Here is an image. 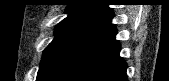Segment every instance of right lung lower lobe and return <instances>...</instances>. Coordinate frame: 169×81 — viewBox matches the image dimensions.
<instances>
[{"mask_svg":"<svg viewBox=\"0 0 169 81\" xmlns=\"http://www.w3.org/2000/svg\"><path fill=\"white\" fill-rule=\"evenodd\" d=\"M113 16L78 28L40 67L36 81H128Z\"/></svg>","mask_w":169,"mask_h":81,"instance_id":"98d812e1","label":"right lung lower lobe"}]
</instances>
